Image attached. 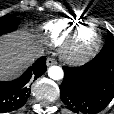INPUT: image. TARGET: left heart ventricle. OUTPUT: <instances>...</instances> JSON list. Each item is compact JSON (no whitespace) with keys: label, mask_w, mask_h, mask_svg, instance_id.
Segmentation results:
<instances>
[{"label":"left heart ventricle","mask_w":114,"mask_h":114,"mask_svg":"<svg viewBox=\"0 0 114 114\" xmlns=\"http://www.w3.org/2000/svg\"><path fill=\"white\" fill-rule=\"evenodd\" d=\"M96 38V32L92 25L86 24L82 26L78 33V44L80 46L86 47L94 42Z\"/></svg>","instance_id":"1"}]
</instances>
